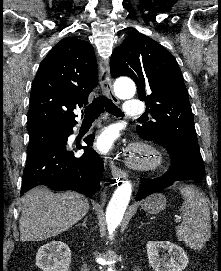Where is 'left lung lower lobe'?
Returning a JSON list of instances; mask_svg holds the SVG:
<instances>
[{"mask_svg": "<svg viewBox=\"0 0 221 271\" xmlns=\"http://www.w3.org/2000/svg\"><path fill=\"white\" fill-rule=\"evenodd\" d=\"M155 142L167 149L171 158V167L170 170L161 177L141 179V185L136 200H141L156 191L169 187L176 181L189 179L194 182H200L205 171L200 153L172 140Z\"/></svg>", "mask_w": 221, "mask_h": 271, "instance_id": "left-lung-lower-lobe-1", "label": "left lung lower lobe"}]
</instances>
